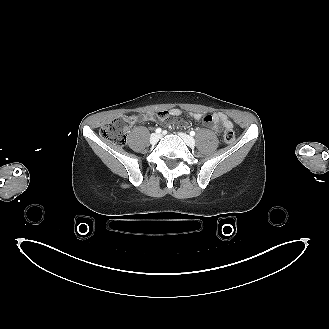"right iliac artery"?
<instances>
[{"instance_id":"82829eb1","label":"right iliac artery","mask_w":329,"mask_h":329,"mask_svg":"<svg viewBox=\"0 0 329 329\" xmlns=\"http://www.w3.org/2000/svg\"><path fill=\"white\" fill-rule=\"evenodd\" d=\"M162 129L161 128H157L156 129V133H161Z\"/></svg>"}]
</instances>
